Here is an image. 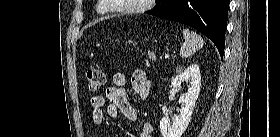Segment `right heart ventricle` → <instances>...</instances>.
<instances>
[{
    "mask_svg": "<svg viewBox=\"0 0 280 137\" xmlns=\"http://www.w3.org/2000/svg\"><path fill=\"white\" fill-rule=\"evenodd\" d=\"M95 9L100 14H105L108 12L107 8L102 3H100V1H98Z\"/></svg>",
    "mask_w": 280,
    "mask_h": 137,
    "instance_id": "right-heart-ventricle-1",
    "label": "right heart ventricle"
}]
</instances>
